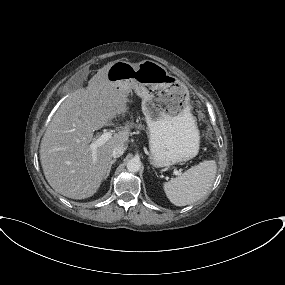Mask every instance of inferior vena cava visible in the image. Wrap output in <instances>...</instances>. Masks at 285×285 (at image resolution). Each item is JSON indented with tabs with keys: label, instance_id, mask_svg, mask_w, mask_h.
Returning <instances> with one entry per match:
<instances>
[{
	"label": "inferior vena cava",
	"instance_id": "602c4592",
	"mask_svg": "<svg viewBox=\"0 0 285 285\" xmlns=\"http://www.w3.org/2000/svg\"><path fill=\"white\" fill-rule=\"evenodd\" d=\"M124 151H125L124 147L117 146L112 151V157L113 158H118V157L123 155Z\"/></svg>",
	"mask_w": 285,
	"mask_h": 285
}]
</instances>
